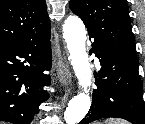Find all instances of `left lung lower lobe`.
<instances>
[{
	"instance_id": "left-lung-lower-lobe-1",
	"label": "left lung lower lobe",
	"mask_w": 145,
	"mask_h": 124,
	"mask_svg": "<svg viewBox=\"0 0 145 124\" xmlns=\"http://www.w3.org/2000/svg\"><path fill=\"white\" fill-rule=\"evenodd\" d=\"M92 37L89 36V39ZM91 52L101 64L100 79L93 90L92 106L80 124H89L107 117L145 124L143 86L138 61L108 48L94 39Z\"/></svg>"
}]
</instances>
